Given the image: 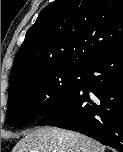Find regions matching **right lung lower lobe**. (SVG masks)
Returning a JSON list of instances; mask_svg holds the SVG:
<instances>
[{
    "mask_svg": "<svg viewBox=\"0 0 123 152\" xmlns=\"http://www.w3.org/2000/svg\"><path fill=\"white\" fill-rule=\"evenodd\" d=\"M37 125L73 130L123 152V42L91 61L78 89Z\"/></svg>",
    "mask_w": 123,
    "mask_h": 152,
    "instance_id": "1",
    "label": "right lung lower lobe"
}]
</instances>
